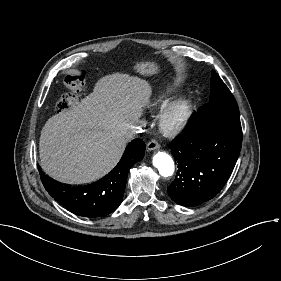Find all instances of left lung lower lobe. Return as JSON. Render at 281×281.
<instances>
[{
	"label": "left lung lower lobe",
	"instance_id": "left-lung-lower-lobe-1",
	"mask_svg": "<svg viewBox=\"0 0 281 281\" xmlns=\"http://www.w3.org/2000/svg\"><path fill=\"white\" fill-rule=\"evenodd\" d=\"M241 144L239 115H196L169 145L178 162L176 178L167 188L170 198L187 207L214 198L230 177Z\"/></svg>",
	"mask_w": 281,
	"mask_h": 281
}]
</instances>
